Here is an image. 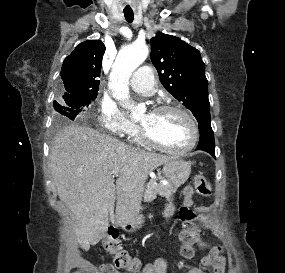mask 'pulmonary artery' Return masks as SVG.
I'll use <instances>...</instances> for the list:
<instances>
[{
  "label": "pulmonary artery",
  "instance_id": "obj_1",
  "mask_svg": "<svg viewBox=\"0 0 285 273\" xmlns=\"http://www.w3.org/2000/svg\"><path fill=\"white\" fill-rule=\"evenodd\" d=\"M131 87L140 93L152 94L156 90V82L151 67L141 66L132 75L130 79Z\"/></svg>",
  "mask_w": 285,
  "mask_h": 273
}]
</instances>
